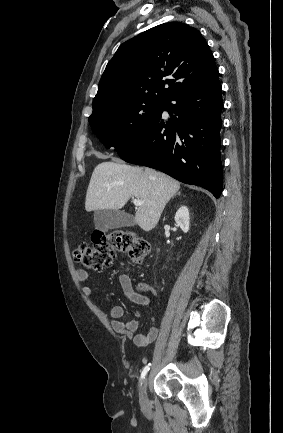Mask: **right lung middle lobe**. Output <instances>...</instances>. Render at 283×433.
Returning <instances> with one entry per match:
<instances>
[{"mask_svg": "<svg viewBox=\"0 0 283 433\" xmlns=\"http://www.w3.org/2000/svg\"><path fill=\"white\" fill-rule=\"evenodd\" d=\"M163 102L136 101L100 111L89 117L93 132L106 148L127 150L161 109Z\"/></svg>", "mask_w": 283, "mask_h": 433, "instance_id": "dd1d6c3e", "label": "right lung middle lobe"}]
</instances>
